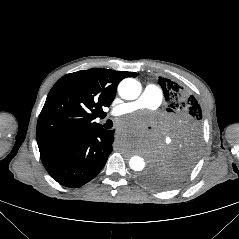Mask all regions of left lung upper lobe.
I'll list each match as a JSON object with an SVG mask.
<instances>
[{
	"label": "left lung upper lobe",
	"instance_id": "1",
	"mask_svg": "<svg viewBox=\"0 0 239 239\" xmlns=\"http://www.w3.org/2000/svg\"><path fill=\"white\" fill-rule=\"evenodd\" d=\"M168 108L169 142L163 154L143 175V181L160 189L180 183L193 168L202 143V112L186 88L159 77Z\"/></svg>",
	"mask_w": 239,
	"mask_h": 239
}]
</instances>
